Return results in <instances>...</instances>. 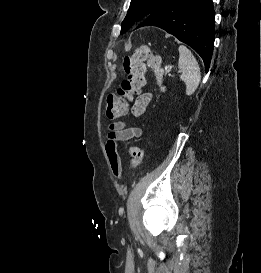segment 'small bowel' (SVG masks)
<instances>
[{
    "mask_svg": "<svg viewBox=\"0 0 261 273\" xmlns=\"http://www.w3.org/2000/svg\"><path fill=\"white\" fill-rule=\"evenodd\" d=\"M152 100V93L144 92L140 94L132 107V113L136 117L144 114L146 108ZM142 136V130L139 127L127 126L125 122H116L110 125L108 139L105 145V152L109 160L111 171L115 178H121L122 166L120 156L117 150L119 142H126Z\"/></svg>",
    "mask_w": 261,
    "mask_h": 273,
    "instance_id": "1",
    "label": "small bowel"
}]
</instances>
